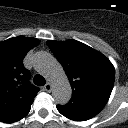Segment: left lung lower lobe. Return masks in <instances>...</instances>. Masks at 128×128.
Wrapping results in <instances>:
<instances>
[{
	"label": "left lung lower lobe",
	"instance_id": "0a47b994",
	"mask_svg": "<svg viewBox=\"0 0 128 128\" xmlns=\"http://www.w3.org/2000/svg\"><path fill=\"white\" fill-rule=\"evenodd\" d=\"M104 106L90 103L70 101L64 106H58V111L65 117L74 121H85L97 115Z\"/></svg>",
	"mask_w": 128,
	"mask_h": 128
}]
</instances>
